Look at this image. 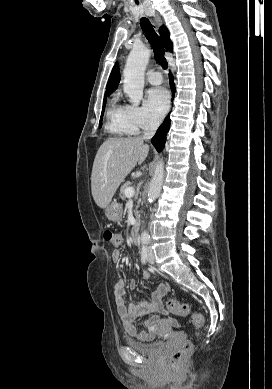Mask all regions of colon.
<instances>
[{
	"label": "colon",
	"instance_id": "1",
	"mask_svg": "<svg viewBox=\"0 0 272 389\" xmlns=\"http://www.w3.org/2000/svg\"><path fill=\"white\" fill-rule=\"evenodd\" d=\"M104 239L113 246L118 247L121 244V236L111 230L104 232ZM166 312L175 315H187L189 313V306L175 299H169L166 303ZM191 322L196 328H201L204 324L203 314L196 312L191 316ZM193 344L190 341L184 342L179 348L174 350L169 355V361L173 366H180L186 361L192 351Z\"/></svg>",
	"mask_w": 272,
	"mask_h": 389
}]
</instances>
